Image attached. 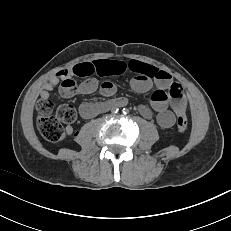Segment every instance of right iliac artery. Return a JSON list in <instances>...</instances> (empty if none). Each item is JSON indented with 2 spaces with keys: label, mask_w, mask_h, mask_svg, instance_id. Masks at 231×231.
Wrapping results in <instances>:
<instances>
[{
  "label": "right iliac artery",
  "mask_w": 231,
  "mask_h": 231,
  "mask_svg": "<svg viewBox=\"0 0 231 231\" xmlns=\"http://www.w3.org/2000/svg\"><path fill=\"white\" fill-rule=\"evenodd\" d=\"M119 111L118 107H112L111 112L112 113H117Z\"/></svg>",
  "instance_id": "obj_1"
}]
</instances>
